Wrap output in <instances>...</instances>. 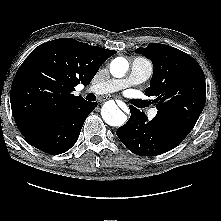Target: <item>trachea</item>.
<instances>
[{
    "mask_svg": "<svg viewBox=\"0 0 221 221\" xmlns=\"http://www.w3.org/2000/svg\"><path fill=\"white\" fill-rule=\"evenodd\" d=\"M87 100L93 101L96 99V97L93 94H88L86 97ZM139 102V100H133V104L136 105Z\"/></svg>",
    "mask_w": 221,
    "mask_h": 221,
    "instance_id": "3493384b",
    "label": "trachea"
}]
</instances>
